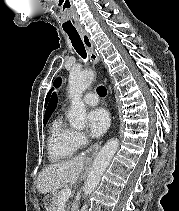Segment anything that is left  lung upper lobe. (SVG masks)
Returning a JSON list of instances; mask_svg holds the SVG:
<instances>
[{"label":"left lung upper lobe","mask_w":179,"mask_h":211,"mask_svg":"<svg viewBox=\"0 0 179 211\" xmlns=\"http://www.w3.org/2000/svg\"><path fill=\"white\" fill-rule=\"evenodd\" d=\"M61 85V78H57L55 81H54V86L57 88ZM53 89V88H52ZM52 89L49 91L47 97H46V104H47V101L49 99V96H50V93L52 91Z\"/></svg>","instance_id":"1"}]
</instances>
